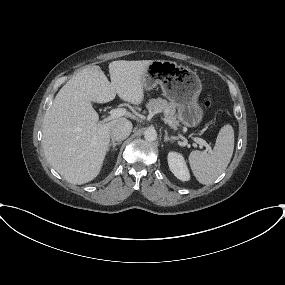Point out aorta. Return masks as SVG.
<instances>
[{"instance_id":"1","label":"aorta","mask_w":285,"mask_h":285,"mask_svg":"<svg viewBox=\"0 0 285 285\" xmlns=\"http://www.w3.org/2000/svg\"><path fill=\"white\" fill-rule=\"evenodd\" d=\"M144 138L146 141L153 142L157 139V132L153 128H148L144 132Z\"/></svg>"}]
</instances>
